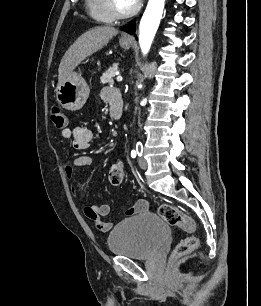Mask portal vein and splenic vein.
Instances as JSON below:
<instances>
[{
  "label": "portal vein and splenic vein",
  "mask_w": 261,
  "mask_h": 306,
  "mask_svg": "<svg viewBox=\"0 0 261 306\" xmlns=\"http://www.w3.org/2000/svg\"><path fill=\"white\" fill-rule=\"evenodd\" d=\"M122 80H123L122 76H117V77H116V81H117V82H121Z\"/></svg>",
  "instance_id": "18ae733b"
}]
</instances>
